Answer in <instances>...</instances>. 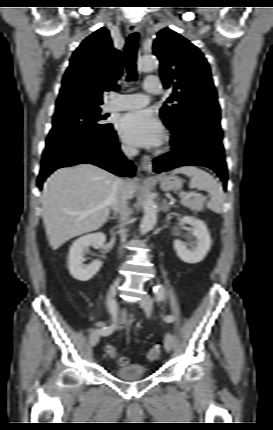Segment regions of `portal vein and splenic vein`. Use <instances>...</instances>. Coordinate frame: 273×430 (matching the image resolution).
I'll use <instances>...</instances> for the list:
<instances>
[{"label": "portal vein and splenic vein", "mask_w": 273, "mask_h": 430, "mask_svg": "<svg viewBox=\"0 0 273 430\" xmlns=\"http://www.w3.org/2000/svg\"><path fill=\"white\" fill-rule=\"evenodd\" d=\"M193 196L202 197L203 195L200 194V193L190 192V193H187L184 196H182V199L184 200V199H187V198H190V197H193Z\"/></svg>", "instance_id": "1"}]
</instances>
